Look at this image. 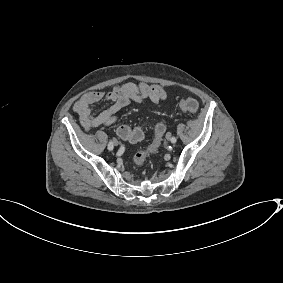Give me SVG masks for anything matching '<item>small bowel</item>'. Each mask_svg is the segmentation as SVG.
<instances>
[{"instance_id": "obj_1", "label": "small bowel", "mask_w": 283, "mask_h": 283, "mask_svg": "<svg viewBox=\"0 0 283 283\" xmlns=\"http://www.w3.org/2000/svg\"><path fill=\"white\" fill-rule=\"evenodd\" d=\"M167 98L164 87L146 82H128L118 84L111 90L91 91L85 93L74 105L80 123L85 130L99 126H111L119 117L122 109L131 102H152L160 105ZM102 101H109L111 105L98 114L92 113V106Z\"/></svg>"}]
</instances>
